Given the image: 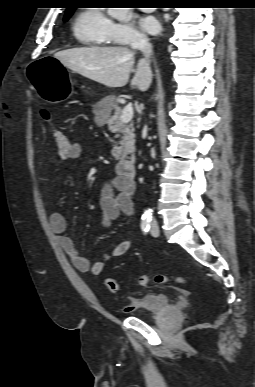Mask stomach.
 Returning a JSON list of instances; mask_svg holds the SVG:
<instances>
[{"label": "stomach", "mask_w": 255, "mask_h": 387, "mask_svg": "<svg viewBox=\"0 0 255 387\" xmlns=\"http://www.w3.org/2000/svg\"><path fill=\"white\" fill-rule=\"evenodd\" d=\"M25 73L33 91H38V95L49 103H59L73 91L72 80L54 55H39L38 61L25 66Z\"/></svg>", "instance_id": "obj_1"}]
</instances>
